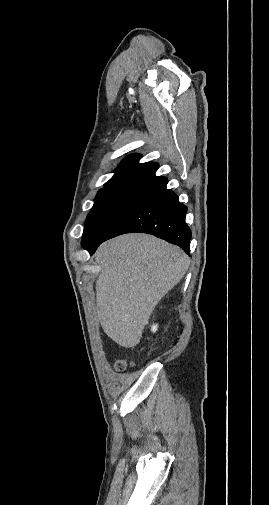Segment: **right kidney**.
Segmentation results:
<instances>
[{"mask_svg": "<svg viewBox=\"0 0 269 505\" xmlns=\"http://www.w3.org/2000/svg\"><path fill=\"white\" fill-rule=\"evenodd\" d=\"M156 330H157V325H154V326L152 327V331H153V332H155Z\"/></svg>", "mask_w": 269, "mask_h": 505, "instance_id": "right-kidney-1", "label": "right kidney"}]
</instances>
